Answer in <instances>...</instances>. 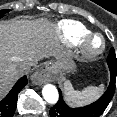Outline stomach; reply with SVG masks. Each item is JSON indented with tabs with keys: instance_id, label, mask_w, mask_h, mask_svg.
Returning <instances> with one entry per match:
<instances>
[{
	"instance_id": "obj_1",
	"label": "stomach",
	"mask_w": 117,
	"mask_h": 117,
	"mask_svg": "<svg viewBox=\"0 0 117 117\" xmlns=\"http://www.w3.org/2000/svg\"><path fill=\"white\" fill-rule=\"evenodd\" d=\"M74 69L75 63L67 55L58 58L57 61L52 64V70L57 73L71 72Z\"/></svg>"
}]
</instances>
